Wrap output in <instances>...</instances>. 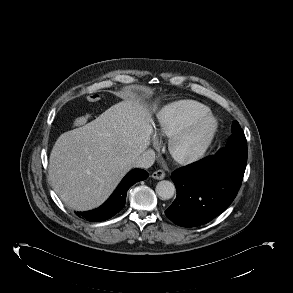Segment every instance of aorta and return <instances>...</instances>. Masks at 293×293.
<instances>
[{"label":"aorta","instance_id":"aorta-1","mask_svg":"<svg viewBox=\"0 0 293 293\" xmlns=\"http://www.w3.org/2000/svg\"><path fill=\"white\" fill-rule=\"evenodd\" d=\"M156 194L160 199H171L175 194V185L168 180H162L156 185Z\"/></svg>","mask_w":293,"mask_h":293}]
</instances>
